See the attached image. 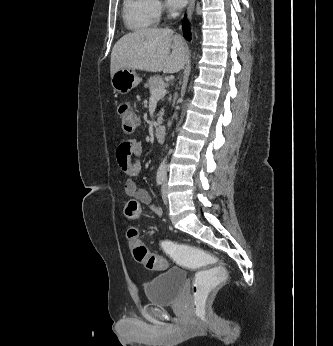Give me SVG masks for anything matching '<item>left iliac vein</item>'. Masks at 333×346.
<instances>
[{"label": "left iliac vein", "instance_id": "4c4485c4", "mask_svg": "<svg viewBox=\"0 0 333 346\" xmlns=\"http://www.w3.org/2000/svg\"><path fill=\"white\" fill-rule=\"evenodd\" d=\"M167 175L165 176L163 186H162V200L165 204H168V196H167Z\"/></svg>", "mask_w": 333, "mask_h": 346}]
</instances>
